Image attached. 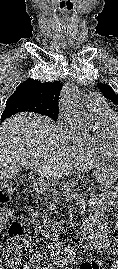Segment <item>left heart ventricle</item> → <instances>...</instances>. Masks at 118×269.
<instances>
[{"label":"left heart ventricle","instance_id":"b2bd125f","mask_svg":"<svg viewBox=\"0 0 118 269\" xmlns=\"http://www.w3.org/2000/svg\"><path fill=\"white\" fill-rule=\"evenodd\" d=\"M116 136H117V139H118V131L116 132Z\"/></svg>","mask_w":118,"mask_h":269}]
</instances>
